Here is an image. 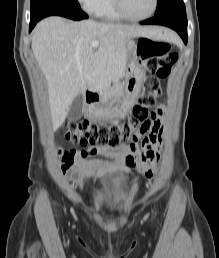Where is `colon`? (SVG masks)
<instances>
[{"mask_svg": "<svg viewBox=\"0 0 219 258\" xmlns=\"http://www.w3.org/2000/svg\"><path fill=\"white\" fill-rule=\"evenodd\" d=\"M138 54L142 65L151 77L144 81L142 92L133 107L131 115L125 121L95 122L82 120L70 123L66 127L65 138L82 146L118 147L130 142L141 126L148 121L152 107L162 94L159 80L169 75L177 62L178 55L172 52L166 42L142 38L138 42ZM75 151L58 150V157L66 169L74 160Z\"/></svg>", "mask_w": 219, "mask_h": 258, "instance_id": "obj_1", "label": "colon"}]
</instances>
